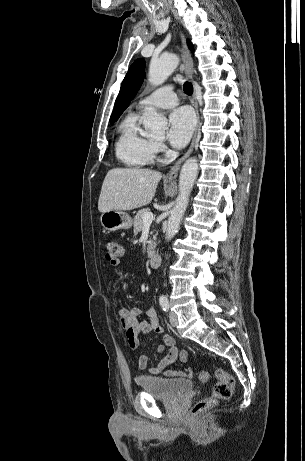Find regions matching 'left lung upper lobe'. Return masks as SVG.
I'll use <instances>...</instances> for the list:
<instances>
[{
  "label": "left lung upper lobe",
  "instance_id": "left-lung-upper-lobe-1",
  "mask_svg": "<svg viewBox=\"0 0 305 461\" xmlns=\"http://www.w3.org/2000/svg\"><path fill=\"white\" fill-rule=\"evenodd\" d=\"M188 46L192 49V44L190 42H188ZM144 69L145 62L143 59L135 60L130 66L121 84L120 92L116 99L113 113L110 117L111 123H114L119 118L140 89L145 74Z\"/></svg>",
  "mask_w": 305,
  "mask_h": 461
}]
</instances>
